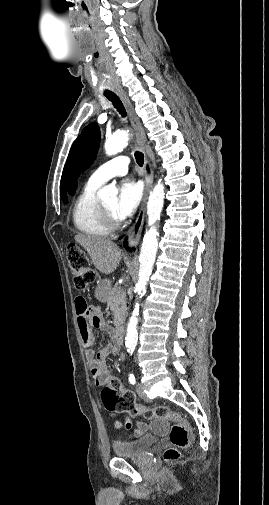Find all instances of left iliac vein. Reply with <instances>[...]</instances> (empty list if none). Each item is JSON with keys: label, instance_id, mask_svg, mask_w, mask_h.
<instances>
[{"label": "left iliac vein", "instance_id": "1", "mask_svg": "<svg viewBox=\"0 0 269 505\" xmlns=\"http://www.w3.org/2000/svg\"><path fill=\"white\" fill-rule=\"evenodd\" d=\"M136 390H137L138 395L141 398L146 399L145 389H144V385L142 383H137Z\"/></svg>", "mask_w": 269, "mask_h": 505}]
</instances>
